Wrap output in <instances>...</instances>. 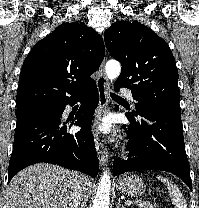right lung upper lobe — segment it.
Here are the masks:
<instances>
[{"instance_id":"right-lung-upper-lobe-1","label":"right lung upper lobe","mask_w":199,"mask_h":208,"mask_svg":"<svg viewBox=\"0 0 199 208\" xmlns=\"http://www.w3.org/2000/svg\"><path fill=\"white\" fill-rule=\"evenodd\" d=\"M105 55L102 37L84 23H63L39 41L24 60L17 109L57 106L95 83L90 78Z\"/></svg>"}]
</instances>
